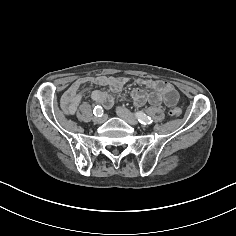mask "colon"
Masks as SVG:
<instances>
[{
    "label": "colon",
    "mask_w": 236,
    "mask_h": 236,
    "mask_svg": "<svg viewBox=\"0 0 236 236\" xmlns=\"http://www.w3.org/2000/svg\"><path fill=\"white\" fill-rule=\"evenodd\" d=\"M169 113L173 117H179L181 114V110L178 107H175V108L171 109Z\"/></svg>",
    "instance_id": "obj_1"
}]
</instances>
